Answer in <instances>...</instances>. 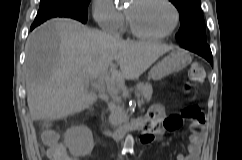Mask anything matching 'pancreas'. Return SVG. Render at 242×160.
I'll return each mask as SVG.
<instances>
[{
    "mask_svg": "<svg viewBox=\"0 0 242 160\" xmlns=\"http://www.w3.org/2000/svg\"><path fill=\"white\" fill-rule=\"evenodd\" d=\"M135 91L139 93L144 99L149 102L152 98L153 89L149 83H138L135 87ZM127 121V117L124 114V109L121 104V99L115 98L111 106V114L109 116V122L113 126L121 125Z\"/></svg>",
    "mask_w": 242,
    "mask_h": 160,
    "instance_id": "cf45deb5",
    "label": "pancreas"
}]
</instances>
